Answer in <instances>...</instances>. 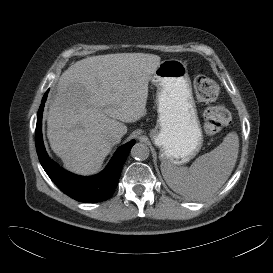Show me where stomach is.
Masks as SVG:
<instances>
[{
  "instance_id": "0dacf381",
  "label": "stomach",
  "mask_w": 273,
  "mask_h": 273,
  "mask_svg": "<svg viewBox=\"0 0 273 273\" xmlns=\"http://www.w3.org/2000/svg\"><path fill=\"white\" fill-rule=\"evenodd\" d=\"M157 88L158 119L150 137L162 162L174 166L193 159L203 144V133L192 94L187 66L178 59L162 61L151 78Z\"/></svg>"
}]
</instances>
